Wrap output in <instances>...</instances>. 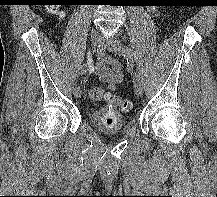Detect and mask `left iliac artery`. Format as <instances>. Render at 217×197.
<instances>
[{"mask_svg": "<svg viewBox=\"0 0 217 197\" xmlns=\"http://www.w3.org/2000/svg\"><path fill=\"white\" fill-rule=\"evenodd\" d=\"M118 49L119 51L123 54L124 57L127 58V60H131L132 57H133V52L132 50L127 47L126 45H124L123 43L121 42H118Z\"/></svg>", "mask_w": 217, "mask_h": 197, "instance_id": "left-iliac-artery-1", "label": "left iliac artery"}]
</instances>
